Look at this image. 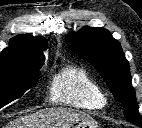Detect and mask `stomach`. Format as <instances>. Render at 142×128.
<instances>
[{"mask_svg":"<svg viewBox=\"0 0 142 128\" xmlns=\"http://www.w3.org/2000/svg\"><path fill=\"white\" fill-rule=\"evenodd\" d=\"M73 128H99V127L93 119H86V120L80 121Z\"/></svg>","mask_w":142,"mask_h":128,"instance_id":"0dacf381","label":"stomach"}]
</instances>
